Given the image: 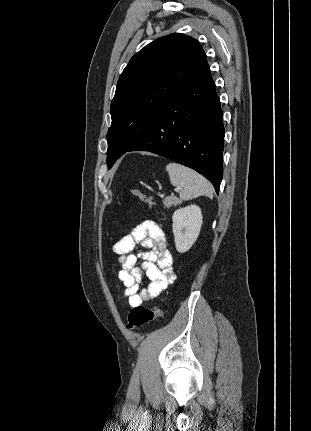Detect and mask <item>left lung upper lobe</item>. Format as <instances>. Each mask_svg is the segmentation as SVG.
Listing matches in <instances>:
<instances>
[{
    "label": "left lung upper lobe",
    "instance_id": "obj_1",
    "mask_svg": "<svg viewBox=\"0 0 311 431\" xmlns=\"http://www.w3.org/2000/svg\"><path fill=\"white\" fill-rule=\"evenodd\" d=\"M205 59L200 43L181 33L161 37L131 58L111 102L109 168L146 135L164 106Z\"/></svg>",
    "mask_w": 311,
    "mask_h": 431
}]
</instances>
